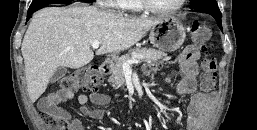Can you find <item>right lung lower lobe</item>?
I'll return each instance as SVG.
<instances>
[{
	"label": "right lung lower lobe",
	"instance_id": "98d812e1",
	"mask_svg": "<svg viewBox=\"0 0 257 130\" xmlns=\"http://www.w3.org/2000/svg\"><path fill=\"white\" fill-rule=\"evenodd\" d=\"M60 1H54V3H59ZM32 13H28V15H27V19H29V17H30V15H31Z\"/></svg>",
	"mask_w": 257,
	"mask_h": 130
}]
</instances>
